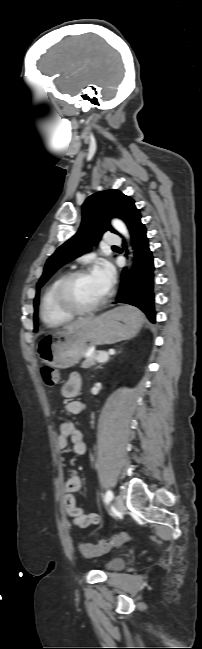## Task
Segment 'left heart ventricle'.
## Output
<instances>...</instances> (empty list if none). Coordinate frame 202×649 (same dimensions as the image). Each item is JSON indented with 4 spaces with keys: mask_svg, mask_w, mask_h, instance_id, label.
<instances>
[{
    "mask_svg": "<svg viewBox=\"0 0 202 649\" xmlns=\"http://www.w3.org/2000/svg\"><path fill=\"white\" fill-rule=\"evenodd\" d=\"M105 293L92 278L91 273L77 278L70 290L72 300L80 307H88L98 302Z\"/></svg>",
    "mask_w": 202,
    "mask_h": 649,
    "instance_id": "left-heart-ventricle-1",
    "label": "left heart ventricle"
}]
</instances>
